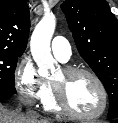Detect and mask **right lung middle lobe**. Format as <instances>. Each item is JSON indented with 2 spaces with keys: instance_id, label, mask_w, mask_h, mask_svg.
Masks as SVG:
<instances>
[{
  "instance_id": "obj_1",
  "label": "right lung middle lobe",
  "mask_w": 118,
  "mask_h": 123,
  "mask_svg": "<svg viewBox=\"0 0 118 123\" xmlns=\"http://www.w3.org/2000/svg\"><path fill=\"white\" fill-rule=\"evenodd\" d=\"M22 53L0 50V92L16 93L14 72Z\"/></svg>"
}]
</instances>
